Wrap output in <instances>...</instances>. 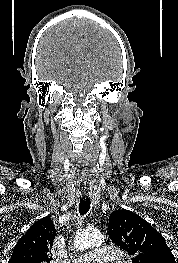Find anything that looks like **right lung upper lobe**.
<instances>
[{"instance_id":"right-lung-upper-lobe-1","label":"right lung upper lobe","mask_w":178,"mask_h":263,"mask_svg":"<svg viewBox=\"0 0 178 263\" xmlns=\"http://www.w3.org/2000/svg\"><path fill=\"white\" fill-rule=\"evenodd\" d=\"M55 236L56 230L49 217L38 220L18 240L8 263H50L49 252Z\"/></svg>"}]
</instances>
